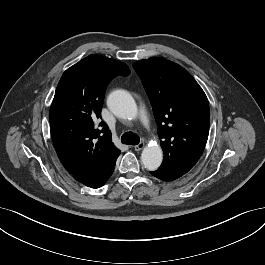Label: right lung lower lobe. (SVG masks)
<instances>
[{"instance_id":"1","label":"right lung lower lobe","mask_w":265,"mask_h":265,"mask_svg":"<svg viewBox=\"0 0 265 265\" xmlns=\"http://www.w3.org/2000/svg\"><path fill=\"white\" fill-rule=\"evenodd\" d=\"M119 154L107 158L102 163H100L92 172L88 174L77 175L74 178L78 182L91 188H99L103 186L113 173L115 163Z\"/></svg>"}]
</instances>
